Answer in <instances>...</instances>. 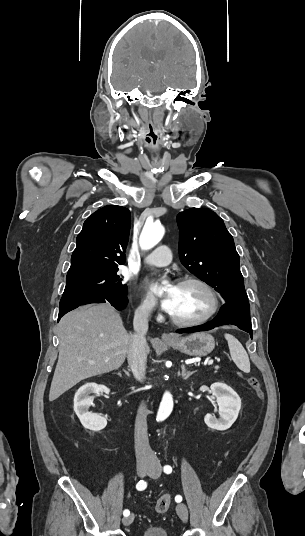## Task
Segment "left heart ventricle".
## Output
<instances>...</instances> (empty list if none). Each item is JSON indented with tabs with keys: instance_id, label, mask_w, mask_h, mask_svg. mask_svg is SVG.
I'll list each match as a JSON object with an SVG mask.
<instances>
[{
	"instance_id": "obj_1",
	"label": "left heart ventricle",
	"mask_w": 305,
	"mask_h": 536,
	"mask_svg": "<svg viewBox=\"0 0 305 536\" xmlns=\"http://www.w3.org/2000/svg\"><path fill=\"white\" fill-rule=\"evenodd\" d=\"M174 296L171 312L184 318H202L213 308L211 294L197 284L177 285L172 289Z\"/></svg>"
}]
</instances>
